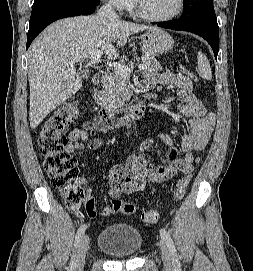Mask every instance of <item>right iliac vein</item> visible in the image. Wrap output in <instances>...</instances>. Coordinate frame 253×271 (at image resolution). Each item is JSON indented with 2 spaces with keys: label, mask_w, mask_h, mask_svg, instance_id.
I'll return each instance as SVG.
<instances>
[{
  "label": "right iliac vein",
  "mask_w": 253,
  "mask_h": 271,
  "mask_svg": "<svg viewBox=\"0 0 253 271\" xmlns=\"http://www.w3.org/2000/svg\"><path fill=\"white\" fill-rule=\"evenodd\" d=\"M89 243H90L89 237L87 235L82 236L77 250L76 271L83 270L86 259V253L89 248Z\"/></svg>",
  "instance_id": "1"
}]
</instances>
